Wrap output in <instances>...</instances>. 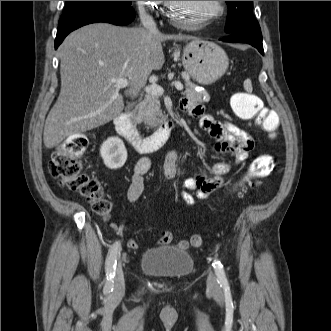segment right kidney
Returning a JSON list of instances; mask_svg holds the SVG:
<instances>
[{"label":"right kidney","instance_id":"right-kidney-1","mask_svg":"<svg viewBox=\"0 0 331 331\" xmlns=\"http://www.w3.org/2000/svg\"><path fill=\"white\" fill-rule=\"evenodd\" d=\"M100 154L104 164L110 169L121 168L127 159V150L119 137H109L104 141Z\"/></svg>","mask_w":331,"mask_h":331}]
</instances>
